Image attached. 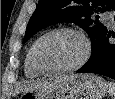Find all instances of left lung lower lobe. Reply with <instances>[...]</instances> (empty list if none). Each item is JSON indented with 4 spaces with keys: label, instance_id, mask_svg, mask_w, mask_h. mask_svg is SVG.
<instances>
[{
    "label": "left lung lower lobe",
    "instance_id": "obj_1",
    "mask_svg": "<svg viewBox=\"0 0 115 99\" xmlns=\"http://www.w3.org/2000/svg\"><path fill=\"white\" fill-rule=\"evenodd\" d=\"M111 33L106 31L86 64L77 73H96L115 80V44L109 42ZM115 38V33H112Z\"/></svg>",
    "mask_w": 115,
    "mask_h": 99
}]
</instances>
